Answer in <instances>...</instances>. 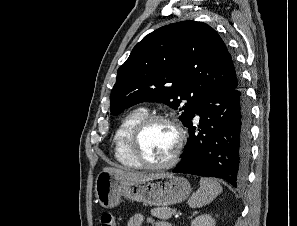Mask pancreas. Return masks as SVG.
I'll return each mask as SVG.
<instances>
[{
  "instance_id": "pancreas-1",
  "label": "pancreas",
  "mask_w": 297,
  "mask_h": 226,
  "mask_svg": "<svg viewBox=\"0 0 297 226\" xmlns=\"http://www.w3.org/2000/svg\"><path fill=\"white\" fill-rule=\"evenodd\" d=\"M173 212L168 207H158L151 210V215L162 220H168L172 217Z\"/></svg>"
}]
</instances>
